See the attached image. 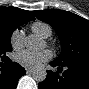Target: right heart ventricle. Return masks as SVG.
<instances>
[{
  "mask_svg": "<svg viewBox=\"0 0 89 89\" xmlns=\"http://www.w3.org/2000/svg\"><path fill=\"white\" fill-rule=\"evenodd\" d=\"M32 31L42 38H48L52 34L51 27L43 22H36L32 25Z\"/></svg>",
  "mask_w": 89,
  "mask_h": 89,
  "instance_id": "right-heart-ventricle-1",
  "label": "right heart ventricle"
}]
</instances>
